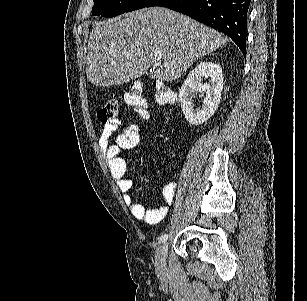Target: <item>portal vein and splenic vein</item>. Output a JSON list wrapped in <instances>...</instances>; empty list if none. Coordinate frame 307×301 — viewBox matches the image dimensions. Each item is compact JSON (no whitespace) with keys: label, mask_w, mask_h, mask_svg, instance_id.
<instances>
[{"label":"portal vein and splenic vein","mask_w":307,"mask_h":301,"mask_svg":"<svg viewBox=\"0 0 307 301\" xmlns=\"http://www.w3.org/2000/svg\"><path fill=\"white\" fill-rule=\"evenodd\" d=\"M155 58H161V54H155ZM164 66H170L169 62H164Z\"/></svg>","instance_id":"portal-vein-and-splenic-vein-1"}]
</instances>
